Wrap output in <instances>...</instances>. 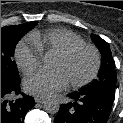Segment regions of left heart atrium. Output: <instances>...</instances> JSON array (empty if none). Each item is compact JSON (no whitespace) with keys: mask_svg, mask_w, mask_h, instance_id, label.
<instances>
[{"mask_svg":"<svg viewBox=\"0 0 123 123\" xmlns=\"http://www.w3.org/2000/svg\"><path fill=\"white\" fill-rule=\"evenodd\" d=\"M68 84L64 73L59 69H40L28 75L24 81V86L30 94L48 97Z\"/></svg>","mask_w":123,"mask_h":123,"instance_id":"obj_1","label":"left heart atrium"}]
</instances>
